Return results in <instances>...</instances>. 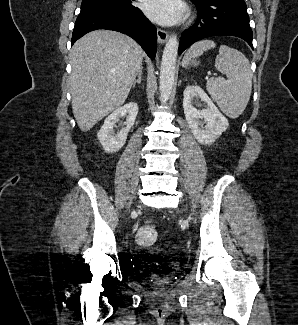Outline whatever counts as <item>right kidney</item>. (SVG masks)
<instances>
[{
	"mask_svg": "<svg viewBox=\"0 0 298 325\" xmlns=\"http://www.w3.org/2000/svg\"><path fill=\"white\" fill-rule=\"evenodd\" d=\"M137 112V102H127L124 106H119V108L113 110L112 114H109V116L105 118L104 124H102L97 134L98 140L101 142L105 152H116V150L122 148L123 144H125L127 134L135 122ZM122 116H126L124 122L126 126H123L120 132H115L114 126H117L116 122H118L119 118H122Z\"/></svg>",
	"mask_w": 298,
	"mask_h": 325,
	"instance_id": "1",
	"label": "right kidney"
}]
</instances>
